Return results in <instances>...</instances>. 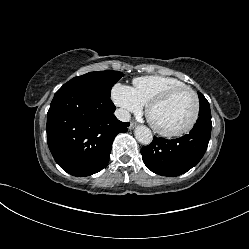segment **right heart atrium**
I'll return each instance as SVG.
<instances>
[{"label": "right heart atrium", "mask_w": 249, "mask_h": 249, "mask_svg": "<svg viewBox=\"0 0 249 249\" xmlns=\"http://www.w3.org/2000/svg\"><path fill=\"white\" fill-rule=\"evenodd\" d=\"M111 96L114 104L120 108L125 116L130 112H140L144 106L136 96L134 89L126 84H115L112 88Z\"/></svg>", "instance_id": "d8ad5b80"}]
</instances>
